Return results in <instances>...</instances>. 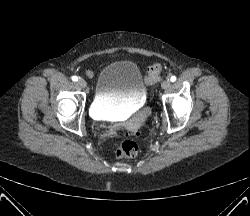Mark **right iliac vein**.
<instances>
[{
	"label": "right iliac vein",
	"mask_w": 250,
	"mask_h": 216,
	"mask_svg": "<svg viewBox=\"0 0 250 216\" xmlns=\"http://www.w3.org/2000/svg\"><path fill=\"white\" fill-rule=\"evenodd\" d=\"M77 83L82 88H85L87 86V83L84 79H79Z\"/></svg>",
	"instance_id": "obj_1"
}]
</instances>
